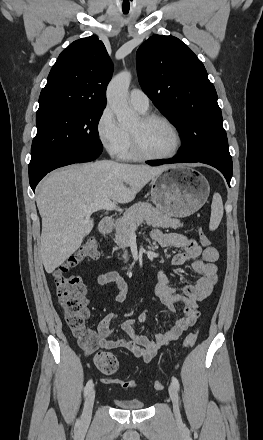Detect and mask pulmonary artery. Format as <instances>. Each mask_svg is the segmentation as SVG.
<instances>
[{"instance_id": "obj_1", "label": "pulmonary artery", "mask_w": 263, "mask_h": 440, "mask_svg": "<svg viewBox=\"0 0 263 440\" xmlns=\"http://www.w3.org/2000/svg\"><path fill=\"white\" fill-rule=\"evenodd\" d=\"M129 102L139 112H146L149 108V98L140 89H132L129 93Z\"/></svg>"}]
</instances>
